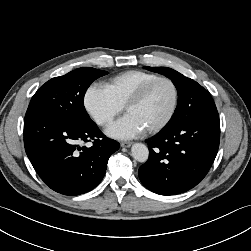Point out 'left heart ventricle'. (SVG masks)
<instances>
[{
	"label": "left heart ventricle",
	"mask_w": 251,
	"mask_h": 251,
	"mask_svg": "<svg viewBox=\"0 0 251 251\" xmlns=\"http://www.w3.org/2000/svg\"><path fill=\"white\" fill-rule=\"evenodd\" d=\"M173 91L167 82L155 84L144 99L130 107L127 114L134 117L144 130L158 125L170 111Z\"/></svg>",
	"instance_id": "obj_1"
}]
</instances>
